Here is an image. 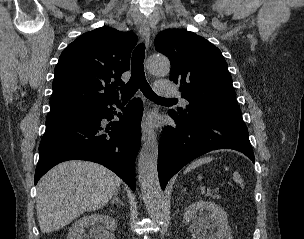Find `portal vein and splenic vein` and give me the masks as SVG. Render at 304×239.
<instances>
[{
	"label": "portal vein and splenic vein",
	"instance_id": "18ae733b",
	"mask_svg": "<svg viewBox=\"0 0 304 239\" xmlns=\"http://www.w3.org/2000/svg\"><path fill=\"white\" fill-rule=\"evenodd\" d=\"M207 195H211V192L207 191Z\"/></svg>",
	"mask_w": 304,
	"mask_h": 239
}]
</instances>
